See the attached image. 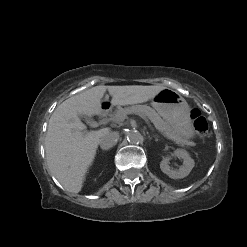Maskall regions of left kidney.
I'll return each mask as SVG.
<instances>
[{"label":"left kidney","mask_w":247,"mask_h":247,"mask_svg":"<svg viewBox=\"0 0 247 247\" xmlns=\"http://www.w3.org/2000/svg\"><path fill=\"white\" fill-rule=\"evenodd\" d=\"M171 156H175L183 160V165L180 166L178 170H173L169 166ZM171 156H166L162 159L160 162L161 171L172 179H181L188 176L195 165L194 160L190 157L188 152L183 149H177Z\"/></svg>","instance_id":"left-kidney-1"}]
</instances>
